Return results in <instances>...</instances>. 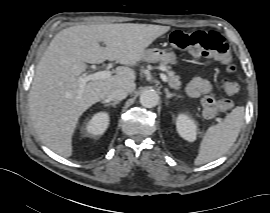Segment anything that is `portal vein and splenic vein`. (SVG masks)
Segmentation results:
<instances>
[{"mask_svg": "<svg viewBox=\"0 0 270 213\" xmlns=\"http://www.w3.org/2000/svg\"><path fill=\"white\" fill-rule=\"evenodd\" d=\"M109 77H111V71L103 70V71L95 72L93 74H89L87 76L77 78L76 81L79 83V87H80L78 90V94L81 95L83 93L84 86L88 81L104 80ZM160 77L164 82H168V78L165 74L161 73Z\"/></svg>", "mask_w": 270, "mask_h": 213, "instance_id": "18ae733b", "label": "portal vein and splenic vein"}]
</instances>
